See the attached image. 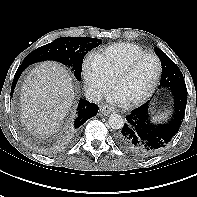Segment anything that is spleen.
Returning <instances> with one entry per match:
<instances>
[{
    "mask_svg": "<svg viewBox=\"0 0 197 197\" xmlns=\"http://www.w3.org/2000/svg\"><path fill=\"white\" fill-rule=\"evenodd\" d=\"M166 117H167V113H162V114L157 115L156 117H154L153 120H154L155 122H157V121H162V120H164Z\"/></svg>",
    "mask_w": 197,
    "mask_h": 197,
    "instance_id": "3e777b00",
    "label": "spleen"
}]
</instances>
